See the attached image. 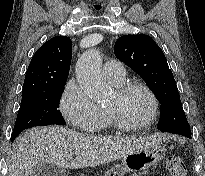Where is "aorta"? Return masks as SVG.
<instances>
[{"label": "aorta", "instance_id": "aorta-1", "mask_svg": "<svg viewBox=\"0 0 205 176\" xmlns=\"http://www.w3.org/2000/svg\"><path fill=\"white\" fill-rule=\"evenodd\" d=\"M76 79L80 88L94 101L101 102L109 88L101 73V55L96 49L84 52L77 61Z\"/></svg>", "mask_w": 205, "mask_h": 176}]
</instances>
